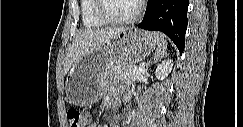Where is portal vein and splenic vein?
Masks as SVG:
<instances>
[{
  "label": "portal vein and splenic vein",
  "mask_w": 243,
  "mask_h": 127,
  "mask_svg": "<svg viewBox=\"0 0 243 127\" xmlns=\"http://www.w3.org/2000/svg\"><path fill=\"white\" fill-rule=\"evenodd\" d=\"M144 71H145L144 67H143V66H140V67L138 68V70L135 71V72L142 74V73H144Z\"/></svg>",
  "instance_id": "portal-vein-and-splenic-vein-1"
}]
</instances>
